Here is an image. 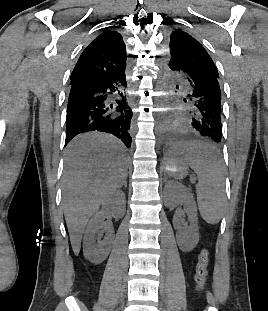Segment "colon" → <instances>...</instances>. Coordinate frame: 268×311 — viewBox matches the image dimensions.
I'll list each match as a JSON object with an SVG mask.
<instances>
[{
	"mask_svg": "<svg viewBox=\"0 0 268 311\" xmlns=\"http://www.w3.org/2000/svg\"><path fill=\"white\" fill-rule=\"evenodd\" d=\"M209 265V252L207 249H202L198 255V262L195 268V282L198 291L203 290Z\"/></svg>",
	"mask_w": 268,
	"mask_h": 311,
	"instance_id": "1",
	"label": "colon"
}]
</instances>
